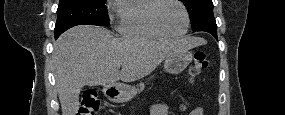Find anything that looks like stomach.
Returning a JSON list of instances; mask_svg holds the SVG:
<instances>
[{
    "label": "stomach",
    "instance_id": "1",
    "mask_svg": "<svg viewBox=\"0 0 285 115\" xmlns=\"http://www.w3.org/2000/svg\"><path fill=\"white\" fill-rule=\"evenodd\" d=\"M192 60L188 51L172 54L165 58L164 69L169 74L183 72ZM106 98L114 103H124L132 100L136 95L134 88L123 84H109L103 88Z\"/></svg>",
    "mask_w": 285,
    "mask_h": 115
}]
</instances>
